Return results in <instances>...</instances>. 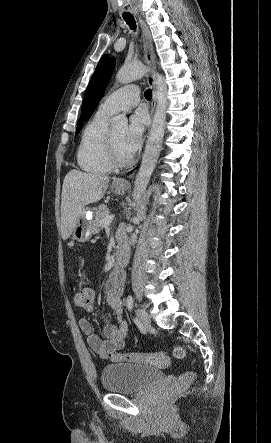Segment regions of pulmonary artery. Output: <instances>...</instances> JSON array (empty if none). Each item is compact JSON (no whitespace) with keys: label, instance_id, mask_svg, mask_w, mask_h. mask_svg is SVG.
Instances as JSON below:
<instances>
[{"label":"pulmonary artery","instance_id":"e3ab8cb5","mask_svg":"<svg viewBox=\"0 0 271 443\" xmlns=\"http://www.w3.org/2000/svg\"><path fill=\"white\" fill-rule=\"evenodd\" d=\"M140 91L136 85L122 87L107 95L98 107V111L107 115L137 106Z\"/></svg>","mask_w":271,"mask_h":443}]
</instances>
